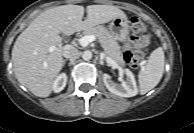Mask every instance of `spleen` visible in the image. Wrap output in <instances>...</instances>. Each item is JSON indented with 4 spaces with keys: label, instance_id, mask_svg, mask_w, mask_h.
<instances>
[{
    "label": "spleen",
    "instance_id": "3e777b00",
    "mask_svg": "<svg viewBox=\"0 0 194 133\" xmlns=\"http://www.w3.org/2000/svg\"><path fill=\"white\" fill-rule=\"evenodd\" d=\"M164 64L165 57L163 49L158 47L150 54L148 63L139 72L140 94H146L160 82L164 72Z\"/></svg>",
    "mask_w": 194,
    "mask_h": 133
}]
</instances>
